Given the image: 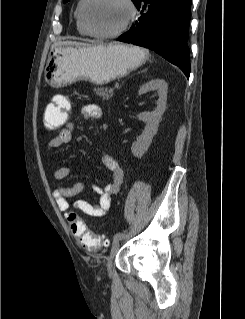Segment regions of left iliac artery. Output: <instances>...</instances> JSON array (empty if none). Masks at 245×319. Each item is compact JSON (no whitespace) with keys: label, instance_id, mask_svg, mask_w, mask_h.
Listing matches in <instances>:
<instances>
[{"label":"left iliac artery","instance_id":"1","mask_svg":"<svg viewBox=\"0 0 245 319\" xmlns=\"http://www.w3.org/2000/svg\"><path fill=\"white\" fill-rule=\"evenodd\" d=\"M125 237V234L124 233H122V232H119V233H116L115 235H114V241L115 240H117V239H123Z\"/></svg>","mask_w":245,"mask_h":319}]
</instances>
